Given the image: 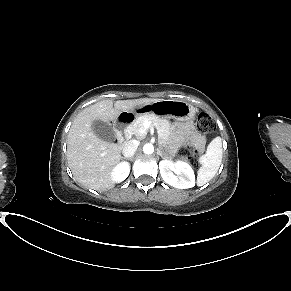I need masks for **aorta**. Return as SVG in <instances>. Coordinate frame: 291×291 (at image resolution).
I'll return each instance as SVG.
<instances>
[{"label": "aorta", "instance_id": "obj_1", "mask_svg": "<svg viewBox=\"0 0 291 291\" xmlns=\"http://www.w3.org/2000/svg\"><path fill=\"white\" fill-rule=\"evenodd\" d=\"M143 152L145 154H152L154 152V146L151 143H147L143 146Z\"/></svg>", "mask_w": 291, "mask_h": 291}]
</instances>
